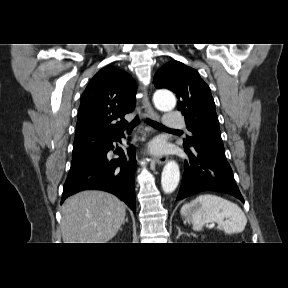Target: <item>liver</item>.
<instances>
[{
    "label": "liver",
    "mask_w": 288,
    "mask_h": 288,
    "mask_svg": "<svg viewBox=\"0 0 288 288\" xmlns=\"http://www.w3.org/2000/svg\"><path fill=\"white\" fill-rule=\"evenodd\" d=\"M61 233L64 243H106L124 222L125 204L103 191H82L62 205Z\"/></svg>",
    "instance_id": "liver-1"
}]
</instances>
